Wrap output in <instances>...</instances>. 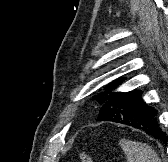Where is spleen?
<instances>
[{"mask_svg":"<svg viewBox=\"0 0 168 162\" xmlns=\"http://www.w3.org/2000/svg\"><path fill=\"white\" fill-rule=\"evenodd\" d=\"M120 146L127 162H161L158 154L146 143L121 139Z\"/></svg>","mask_w":168,"mask_h":162,"instance_id":"spleen-1","label":"spleen"}]
</instances>
